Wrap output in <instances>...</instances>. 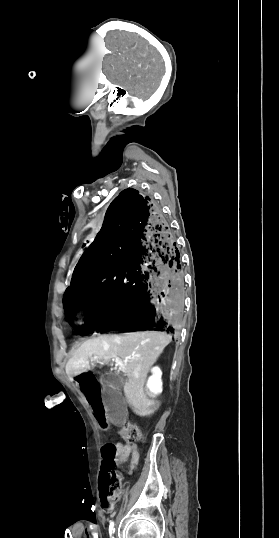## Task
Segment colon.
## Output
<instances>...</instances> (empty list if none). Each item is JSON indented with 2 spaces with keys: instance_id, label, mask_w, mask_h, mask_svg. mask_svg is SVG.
Returning a JSON list of instances; mask_svg holds the SVG:
<instances>
[{
  "instance_id": "colon-1",
  "label": "colon",
  "mask_w": 279,
  "mask_h": 538,
  "mask_svg": "<svg viewBox=\"0 0 279 538\" xmlns=\"http://www.w3.org/2000/svg\"><path fill=\"white\" fill-rule=\"evenodd\" d=\"M121 435L123 440L129 444H135L140 440L141 434L139 428L131 423L127 422L121 429ZM102 454V469L100 474V497L103 508L106 511H110L119 492L122 487V478L116 472L114 464L117 458V450L113 444H105L101 448Z\"/></svg>"
}]
</instances>
